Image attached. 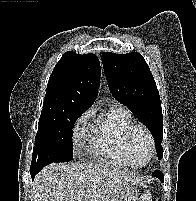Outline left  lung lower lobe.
Returning a JSON list of instances; mask_svg holds the SVG:
<instances>
[{"instance_id":"1","label":"left lung lower lobe","mask_w":196,"mask_h":201,"mask_svg":"<svg viewBox=\"0 0 196 201\" xmlns=\"http://www.w3.org/2000/svg\"><path fill=\"white\" fill-rule=\"evenodd\" d=\"M152 175H154L155 177H157L158 179H160L161 181H164V177L163 174L160 170H156L152 173Z\"/></svg>"}]
</instances>
